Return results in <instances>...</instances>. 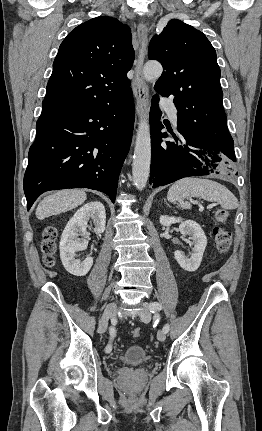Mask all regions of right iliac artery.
Listing matches in <instances>:
<instances>
[{"label":"right iliac artery","instance_id":"right-iliac-artery-1","mask_svg":"<svg viewBox=\"0 0 262 431\" xmlns=\"http://www.w3.org/2000/svg\"><path fill=\"white\" fill-rule=\"evenodd\" d=\"M114 336H115L114 330L111 329L110 330V337H111V339H113ZM111 351H112V346H111V344H108L107 347H106V352H111Z\"/></svg>","mask_w":262,"mask_h":431}]
</instances>
